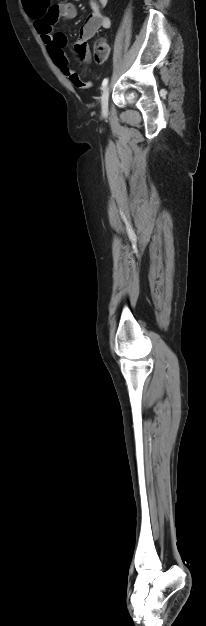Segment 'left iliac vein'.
<instances>
[{"instance_id":"4c4485c4","label":"left iliac vein","mask_w":206,"mask_h":626,"mask_svg":"<svg viewBox=\"0 0 206 626\" xmlns=\"http://www.w3.org/2000/svg\"><path fill=\"white\" fill-rule=\"evenodd\" d=\"M108 98H109V87L106 86L103 90L102 97H101V108H102L103 115L108 114Z\"/></svg>"}]
</instances>
